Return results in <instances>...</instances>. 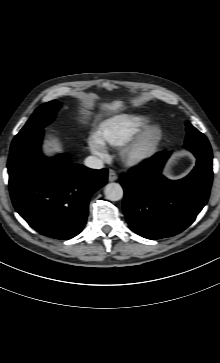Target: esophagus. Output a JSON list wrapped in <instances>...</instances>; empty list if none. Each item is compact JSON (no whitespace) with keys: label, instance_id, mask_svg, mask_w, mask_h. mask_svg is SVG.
<instances>
[{"label":"esophagus","instance_id":"obj_1","mask_svg":"<svg viewBox=\"0 0 220 363\" xmlns=\"http://www.w3.org/2000/svg\"><path fill=\"white\" fill-rule=\"evenodd\" d=\"M117 178H118V176H117L116 172L114 170L110 169L109 173H108V180L110 182H113V181L117 180Z\"/></svg>","mask_w":220,"mask_h":363}]
</instances>
